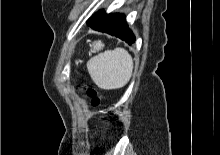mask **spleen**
<instances>
[{
  "instance_id": "3e777b00",
  "label": "spleen",
  "mask_w": 220,
  "mask_h": 155,
  "mask_svg": "<svg viewBox=\"0 0 220 155\" xmlns=\"http://www.w3.org/2000/svg\"><path fill=\"white\" fill-rule=\"evenodd\" d=\"M88 72L94 83L103 90L124 87L133 71V60L124 48L107 50L87 62Z\"/></svg>"
}]
</instances>
